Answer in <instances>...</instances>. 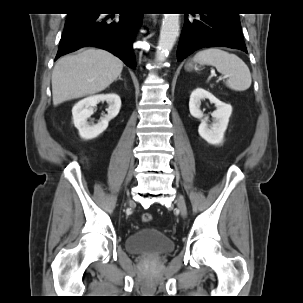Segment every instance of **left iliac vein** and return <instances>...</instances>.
I'll list each match as a JSON object with an SVG mask.
<instances>
[{
    "instance_id": "obj_1",
    "label": "left iliac vein",
    "mask_w": 303,
    "mask_h": 303,
    "mask_svg": "<svg viewBox=\"0 0 303 303\" xmlns=\"http://www.w3.org/2000/svg\"><path fill=\"white\" fill-rule=\"evenodd\" d=\"M176 205L180 211L181 216L186 217L187 215V208L182 195H178L176 198Z\"/></svg>"
}]
</instances>
